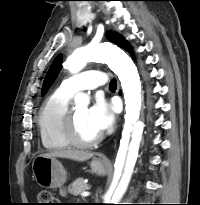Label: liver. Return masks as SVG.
Instances as JSON below:
<instances>
[{"label": "liver", "instance_id": "1", "mask_svg": "<svg viewBox=\"0 0 200 205\" xmlns=\"http://www.w3.org/2000/svg\"><path fill=\"white\" fill-rule=\"evenodd\" d=\"M43 156L53 157V158L56 157L67 158V159L83 162L92 158L93 153L69 149V150H59V151L49 152L43 154Z\"/></svg>", "mask_w": 200, "mask_h": 205}]
</instances>
